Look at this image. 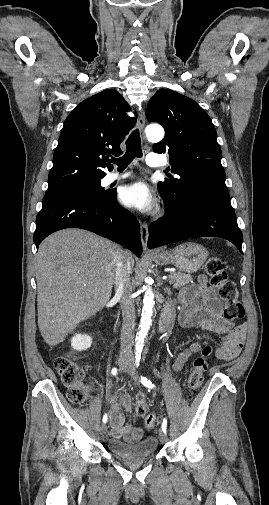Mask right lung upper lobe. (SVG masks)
I'll list each match as a JSON object with an SVG mask.
<instances>
[{"label": "right lung upper lobe", "instance_id": "right-lung-upper-lobe-1", "mask_svg": "<svg viewBox=\"0 0 269 505\" xmlns=\"http://www.w3.org/2000/svg\"><path fill=\"white\" fill-rule=\"evenodd\" d=\"M122 95L107 89L84 100L66 118L53 155L48 189L101 179L109 156L120 155V143L136 119Z\"/></svg>", "mask_w": 269, "mask_h": 505}]
</instances>
